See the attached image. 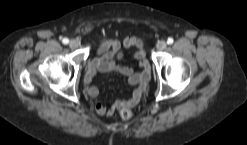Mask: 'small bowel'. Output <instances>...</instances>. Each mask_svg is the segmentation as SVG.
<instances>
[{
    "label": "small bowel",
    "instance_id": "small-bowel-1",
    "mask_svg": "<svg viewBox=\"0 0 247 145\" xmlns=\"http://www.w3.org/2000/svg\"><path fill=\"white\" fill-rule=\"evenodd\" d=\"M122 47H136L137 51L133 53V58L138 62L140 72L125 66L119 62L122 57ZM117 72L128 78V84L134 87L131 96L127 100L115 101L109 108L97 103L94 106L99 115H112L122 108H133L140 101L141 95L150 78V64L145 57L142 41L136 37L126 38L123 43L116 39L102 40L96 50V56L89 62L84 81L86 84L85 92L90 98H96L99 95L97 87L90 85L93 77L97 73Z\"/></svg>",
    "mask_w": 247,
    "mask_h": 145
}]
</instances>
